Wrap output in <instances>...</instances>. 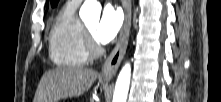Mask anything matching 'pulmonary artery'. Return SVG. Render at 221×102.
I'll list each match as a JSON object with an SVG mask.
<instances>
[{
  "instance_id": "pulmonary-artery-1",
  "label": "pulmonary artery",
  "mask_w": 221,
  "mask_h": 102,
  "mask_svg": "<svg viewBox=\"0 0 221 102\" xmlns=\"http://www.w3.org/2000/svg\"><path fill=\"white\" fill-rule=\"evenodd\" d=\"M72 1H75V2H78V3H79L81 0H72Z\"/></svg>"
}]
</instances>
